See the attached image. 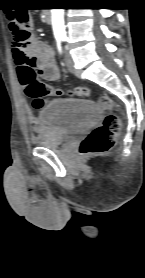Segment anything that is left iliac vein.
Returning <instances> with one entry per match:
<instances>
[{
    "label": "left iliac vein",
    "instance_id": "1",
    "mask_svg": "<svg viewBox=\"0 0 145 278\" xmlns=\"http://www.w3.org/2000/svg\"><path fill=\"white\" fill-rule=\"evenodd\" d=\"M66 67L69 72L74 73L75 68H74V62L69 53H66Z\"/></svg>",
    "mask_w": 145,
    "mask_h": 278
}]
</instances>
